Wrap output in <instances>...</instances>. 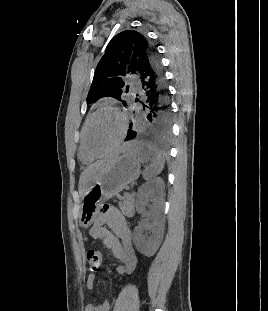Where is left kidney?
<instances>
[{"instance_id": "5707ae66", "label": "left kidney", "mask_w": 268, "mask_h": 311, "mask_svg": "<svg viewBox=\"0 0 268 311\" xmlns=\"http://www.w3.org/2000/svg\"><path fill=\"white\" fill-rule=\"evenodd\" d=\"M136 202L137 211L142 215V220L134 229L133 243L141 254L151 257L158 250L164 233L163 179L158 177L143 184L137 193ZM146 229L150 231L149 236L144 234Z\"/></svg>"}]
</instances>
